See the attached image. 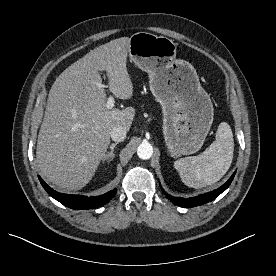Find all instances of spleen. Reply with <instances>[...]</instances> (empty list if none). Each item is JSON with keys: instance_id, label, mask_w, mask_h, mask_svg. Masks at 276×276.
<instances>
[{"instance_id": "obj_1", "label": "spleen", "mask_w": 276, "mask_h": 276, "mask_svg": "<svg viewBox=\"0 0 276 276\" xmlns=\"http://www.w3.org/2000/svg\"><path fill=\"white\" fill-rule=\"evenodd\" d=\"M234 152L232 130L228 123L219 124L215 141L201 154L174 162L183 183L202 188L219 181L228 171Z\"/></svg>"}]
</instances>
